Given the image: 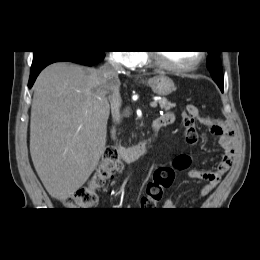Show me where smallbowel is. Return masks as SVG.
I'll return each mask as SVG.
<instances>
[{
	"label": "small bowel",
	"instance_id": "small-bowel-1",
	"mask_svg": "<svg viewBox=\"0 0 260 260\" xmlns=\"http://www.w3.org/2000/svg\"><path fill=\"white\" fill-rule=\"evenodd\" d=\"M159 119L162 121L163 126H166L174 122L175 116L171 112H166ZM195 120L206 125L210 132L218 137L219 144L224 150L222 160L214 170L203 171L191 169L188 172L190 178L206 181V184L196 197L198 199L207 196L219 184L223 175L231 168L236 153V131L233 125L228 122L202 117L199 113ZM141 205L143 208H154L156 206V204L147 201L145 197L142 198ZM162 208L165 210H176V205L171 199H166L162 202Z\"/></svg>",
	"mask_w": 260,
	"mask_h": 260
}]
</instances>
